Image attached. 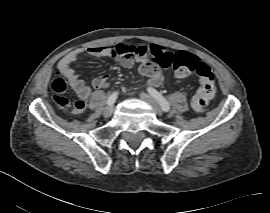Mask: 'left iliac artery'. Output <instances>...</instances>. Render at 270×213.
<instances>
[{"label": "left iliac artery", "instance_id": "44dca946", "mask_svg": "<svg viewBox=\"0 0 270 213\" xmlns=\"http://www.w3.org/2000/svg\"><path fill=\"white\" fill-rule=\"evenodd\" d=\"M148 92L160 103L163 111L168 112L170 110L168 101L157 90L149 88Z\"/></svg>", "mask_w": 270, "mask_h": 213}]
</instances>
